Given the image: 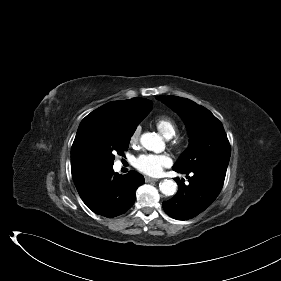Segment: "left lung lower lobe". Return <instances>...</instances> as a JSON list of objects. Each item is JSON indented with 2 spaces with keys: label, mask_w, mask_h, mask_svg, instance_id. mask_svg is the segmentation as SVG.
Returning a JSON list of instances; mask_svg holds the SVG:
<instances>
[{
  "label": "left lung lower lobe",
  "mask_w": 281,
  "mask_h": 281,
  "mask_svg": "<svg viewBox=\"0 0 281 281\" xmlns=\"http://www.w3.org/2000/svg\"><path fill=\"white\" fill-rule=\"evenodd\" d=\"M173 170L186 174L189 185L183 183L184 179L176 178L178 192L171 200L163 202V209L174 219L187 220L214 202L223 187L227 168L211 165L190 171Z\"/></svg>",
  "instance_id": "1"
}]
</instances>
